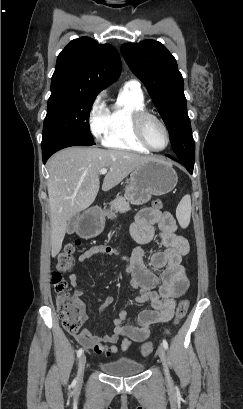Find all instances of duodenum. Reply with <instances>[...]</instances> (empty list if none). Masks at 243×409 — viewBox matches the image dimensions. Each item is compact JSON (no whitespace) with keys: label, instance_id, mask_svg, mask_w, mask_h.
Returning a JSON list of instances; mask_svg holds the SVG:
<instances>
[{"label":"duodenum","instance_id":"1","mask_svg":"<svg viewBox=\"0 0 243 409\" xmlns=\"http://www.w3.org/2000/svg\"><path fill=\"white\" fill-rule=\"evenodd\" d=\"M95 211H97V213H98L99 215H102V214H103V211H102V209H101L100 207H96V208H95Z\"/></svg>","mask_w":243,"mask_h":409}]
</instances>
